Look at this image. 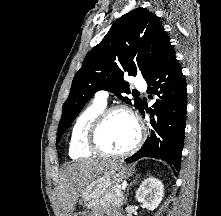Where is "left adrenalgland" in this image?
Listing matches in <instances>:
<instances>
[{"instance_id":"left-adrenal-gland-1","label":"left adrenal gland","mask_w":221,"mask_h":216,"mask_svg":"<svg viewBox=\"0 0 221 216\" xmlns=\"http://www.w3.org/2000/svg\"><path fill=\"white\" fill-rule=\"evenodd\" d=\"M137 178H138V176L135 177L134 181L130 184V186L133 185L136 182ZM128 191H129V189H127V194H126V198H125V204L127 202Z\"/></svg>"}]
</instances>
